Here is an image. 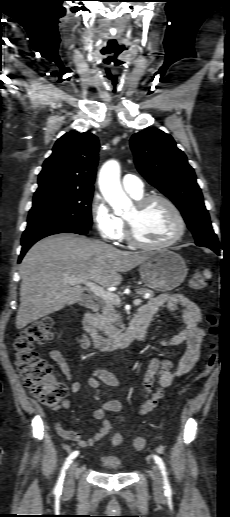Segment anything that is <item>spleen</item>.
I'll return each instance as SVG.
<instances>
[{
    "label": "spleen",
    "mask_w": 230,
    "mask_h": 517,
    "mask_svg": "<svg viewBox=\"0 0 230 517\" xmlns=\"http://www.w3.org/2000/svg\"><path fill=\"white\" fill-rule=\"evenodd\" d=\"M203 274L208 279L212 277V274H211V272L208 269H205Z\"/></svg>",
    "instance_id": "spleen-1"
}]
</instances>
